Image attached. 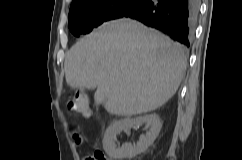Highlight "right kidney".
<instances>
[{
	"label": "right kidney",
	"instance_id": "right-kidney-1",
	"mask_svg": "<svg viewBox=\"0 0 242 160\" xmlns=\"http://www.w3.org/2000/svg\"><path fill=\"white\" fill-rule=\"evenodd\" d=\"M147 124L150 130L142 135L136 145L125 143L121 148L116 147V135L124 129ZM162 127L157 114H149L136 118H125L111 124L103 137V148L107 155L115 160L132 159L143 153L155 141Z\"/></svg>",
	"mask_w": 242,
	"mask_h": 160
}]
</instances>
